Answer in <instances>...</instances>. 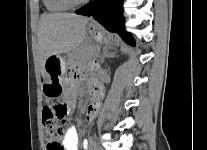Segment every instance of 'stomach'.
Segmentation results:
<instances>
[{"label": "stomach", "instance_id": "obj_1", "mask_svg": "<svg viewBox=\"0 0 207 150\" xmlns=\"http://www.w3.org/2000/svg\"><path fill=\"white\" fill-rule=\"evenodd\" d=\"M87 33L91 40L102 42L103 34L98 26L94 24L89 25ZM45 71L42 89L48 98H62L72 91L70 84L63 80V75L66 71V61L60 55H52L46 60Z\"/></svg>", "mask_w": 207, "mask_h": 150}]
</instances>
